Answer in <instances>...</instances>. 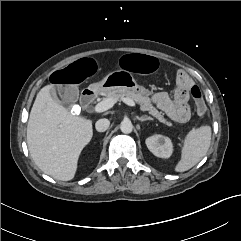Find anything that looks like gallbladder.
<instances>
[{
	"label": "gallbladder",
	"mask_w": 241,
	"mask_h": 241,
	"mask_svg": "<svg viewBox=\"0 0 241 241\" xmlns=\"http://www.w3.org/2000/svg\"><path fill=\"white\" fill-rule=\"evenodd\" d=\"M56 89H57L56 85H52L50 87V94L55 101H58ZM69 92H70V97L68 99V102H71V103L76 102L79 97V90L77 89V87H73V86L70 87Z\"/></svg>",
	"instance_id": "gallbladder-1"
}]
</instances>
